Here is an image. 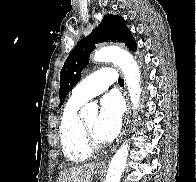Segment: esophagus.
Returning <instances> with one entry per match:
<instances>
[{"label":"esophagus","instance_id":"obj_1","mask_svg":"<svg viewBox=\"0 0 196 182\" xmlns=\"http://www.w3.org/2000/svg\"><path fill=\"white\" fill-rule=\"evenodd\" d=\"M126 101H127V112H126V115H125V121H124L123 130H122V135L126 131V125H127V122H128V119H129V115H130V102H129V98H128L127 92H126ZM105 166H106L105 162H99L97 164V167H105Z\"/></svg>","mask_w":196,"mask_h":182}]
</instances>
